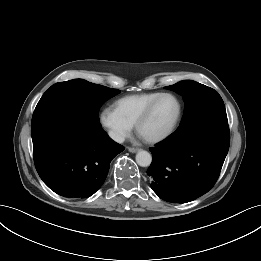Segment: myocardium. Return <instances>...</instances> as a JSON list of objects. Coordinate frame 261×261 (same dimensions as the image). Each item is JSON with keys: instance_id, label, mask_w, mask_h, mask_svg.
Returning <instances> with one entry per match:
<instances>
[{"instance_id": "f54148a6", "label": "myocardium", "mask_w": 261, "mask_h": 261, "mask_svg": "<svg viewBox=\"0 0 261 261\" xmlns=\"http://www.w3.org/2000/svg\"><path fill=\"white\" fill-rule=\"evenodd\" d=\"M164 97H170L172 99L175 100L176 104H177V112L176 115L172 121V123L169 125V127L163 131L162 133L154 136V137H150V138H143L146 142L148 143H158L161 142L165 139H167L176 129L180 118H181V114H182V105L180 100L177 98V96H175L172 93H161L159 94L156 98H154L147 106L146 108L143 110V112L139 115V117L137 118L134 126H135V131L139 134L140 128L141 126L147 121V119L150 117L154 107L156 106V104Z\"/></svg>"}]
</instances>
